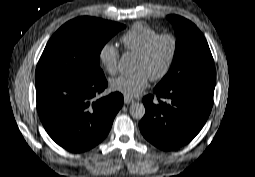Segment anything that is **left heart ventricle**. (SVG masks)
Here are the masks:
<instances>
[{
	"label": "left heart ventricle",
	"instance_id": "1",
	"mask_svg": "<svg viewBox=\"0 0 255 177\" xmlns=\"http://www.w3.org/2000/svg\"><path fill=\"white\" fill-rule=\"evenodd\" d=\"M171 44L168 40H161L153 49L148 59L137 58L134 71L143 72L148 77L157 75L164 67L170 53Z\"/></svg>",
	"mask_w": 255,
	"mask_h": 177
}]
</instances>
